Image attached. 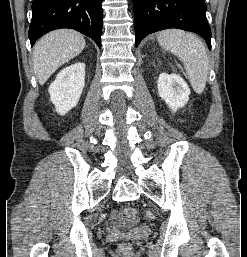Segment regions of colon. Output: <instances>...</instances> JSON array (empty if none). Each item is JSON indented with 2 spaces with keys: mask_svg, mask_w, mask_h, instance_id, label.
I'll list each match as a JSON object with an SVG mask.
<instances>
[{
  "mask_svg": "<svg viewBox=\"0 0 247 257\" xmlns=\"http://www.w3.org/2000/svg\"><path fill=\"white\" fill-rule=\"evenodd\" d=\"M136 213H137V212H136V209H135L134 207H131V206L126 207V208L123 210V215H124V217H125L126 219H128V220H133V219H135ZM120 250H121L122 252H126V251H128V246L125 245V244H122V245L120 246Z\"/></svg>",
  "mask_w": 247,
  "mask_h": 257,
  "instance_id": "5ec220e1",
  "label": "colon"
}]
</instances>
